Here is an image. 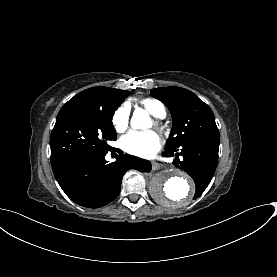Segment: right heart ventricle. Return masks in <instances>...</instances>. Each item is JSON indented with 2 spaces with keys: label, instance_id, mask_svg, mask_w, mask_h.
<instances>
[{
  "label": "right heart ventricle",
  "instance_id": "e07e8e85",
  "mask_svg": "<svg viewBox=\"0 0 277 277\" xmlns=\"http://www.w3.org/2000/svg\"><path fill=\"white\" fill-rule=\"evenodd\" d=\"M140 103L153 116L158 118L165 116L164 106L159 101L155 99H144Z\"/></svg>",
  "mask_w": 277,
  "mask_h": 277
}]
</instances>
